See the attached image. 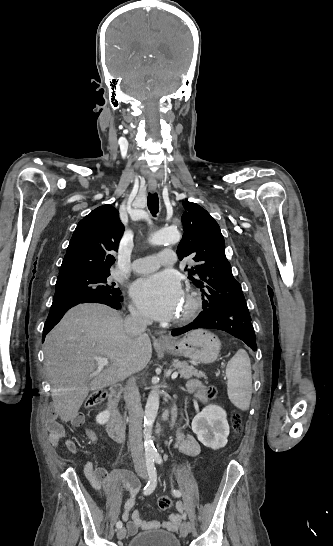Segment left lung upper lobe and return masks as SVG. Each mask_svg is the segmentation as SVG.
Returning <instances> with one entry per match:
<instances>
[{
  "label": "left lung upper lobe",
  "instance_id": "5c2ea615",
  "mask_svg": "<svg viewBox=\"0 0 333 546\" xmlns=\"http://www.w3.org/2000/svg\"><path fill=\"white\" fill-rule=\"evenodd\" d=\"M184 234L177 249L179 260L190 257L195 261L188 278L203 296V310L212 302L230 304L245 302L240 283L233 277L225 255V241L215 219L198 204L183 201Z\"/></svg>",
  "mask_w": 333,
  "mask_h": 546
}]
</instances>
